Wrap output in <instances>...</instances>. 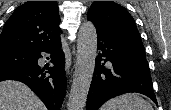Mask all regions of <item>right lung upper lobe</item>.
<instances>
[{
	"label": "right lung upper lobe",
	"instance_id": "cb5924a9",
	"mask_svg": "<svg viewBox=\"0 0 171 110\" xmlns=\"http://www.w3.org/2000/svg\"><path fill=\"white\" fill-rule=\"evenodd\" d=\"M60 17L56 1H28L6 21L0 50L37 52L60 40Z\"/></svg>",
	"mask_w": 171,
	"mask_h": 110
}]
</instances>
